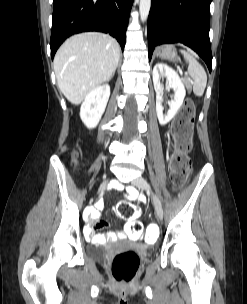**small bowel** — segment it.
Wrapping results in <instances>:
<instances>
[{"label":"small bowel","instance_id":"obj_1","mask_svg":"<svg viewBox=\"0 0 247 304\" xmlns=\"http://www.w3.org/2000/svg\"><path fill=\"white\" fill-rule=\"evenodd\" d=\"M127 195L130 199H138L141 202L145 201V198L142 195H139L137 190L132 187L127 188ZM91 221L90 224L85 229L86 238L93 243H105L113 242L117 239L125 238L128 235V224L125 226L123 232L114 233L109 232L107 234H99L97 230H100L106 226L104 221L98 220V215L96 212H91L90 214Z\"/></svg>","mask_w":247,"mask_h":304}]
</instances>
